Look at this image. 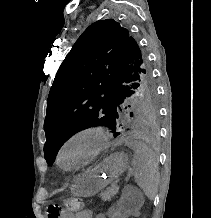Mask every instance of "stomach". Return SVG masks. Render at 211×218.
Returning <instances> with one entry per match:
<instances>
[{
	"instance_id": "stomach-1",
	"label": "stomach",
	"mask_w": 211,
	"mask_h": 218,
	"mask_svg": "<svg viewBox=\"0 0 211 218\" xmlns=\"http://www.w3.org/2000/svg\"><path fill=\"white\" fill-rule=\"evenodd\" d=\"M127 167L128 157L121 152L114 153L92 170L79 175L74 180V193L82 197L92 196L117 179Z\"/></svg>"
}]
</instances>
